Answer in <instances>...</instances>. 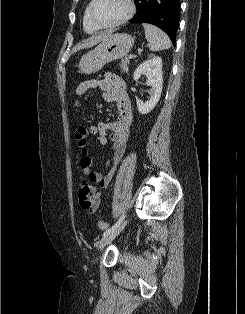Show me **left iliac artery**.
Returning <instances> with one entry per match:
<instances>
[{
    "instance_id": "1",
    "label": "left iliac artery",
    "mask_w": 245,
    "mask_h": 314,
    "mask_svg": "<svg viewBox=\"0 0 245 314\" xmlns=\"http://www.w3.org/2000/svg\"><path fill=\"white\" fill-rule=\"evenodd\" d=\"M124 218H125V215L123 214V215L119 218V220H118L112 227H110L109 229H107V230L104 232L103 236L107 235L108 233H110L111 231H113L114 229H116V228L118 227V225L124 220Z\"/></svg>"
}]
</instances>
